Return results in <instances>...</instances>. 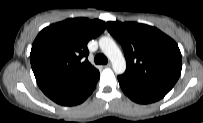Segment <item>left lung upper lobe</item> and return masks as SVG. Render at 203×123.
Segmentation results:
<instances>
[{"label":"left lung upper lobe","instance_id":"obj_1","mask_svg":"<svg viewBox=\"0 0 203 123\" xmlns=\"http://www.w3.org/2000/svg\"><path fill=\"white\" fill-rule=\"evenodd\" d=\"M126 58L123 76L171 90L182 69L176 42L155 27L135 22H107Z\"/></svg>","mask_w":203,"mask_h":123}]
</instances>
